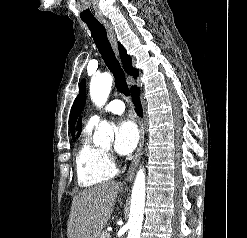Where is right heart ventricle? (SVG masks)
<instances>
[{
    "instance_id": "1",
    "label": "right heart ventricle",
    "mask_w": 247,
    "mask_h": 238,
    "mask_svg": "<svg viewBox=\"0 0 247 238\" xmlns=\"http://www.w3.org/2000/svg\"><path fill=\"white\" fill-rule=\"evenodd\" d=\"M92 128L88 125L84 128L75 158L77 181L81 187L99 185L113 178L117 172L108 154L92 143Z\"/></svg>"
}]
</instances>
